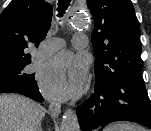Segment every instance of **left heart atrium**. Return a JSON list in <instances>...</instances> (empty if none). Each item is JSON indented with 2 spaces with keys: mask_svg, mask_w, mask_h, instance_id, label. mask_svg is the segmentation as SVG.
Here are the masks:
<instances>
[{
  "mask_svg": "<svg viewBox=\"0 0 151 131\" xmlns=\"http://www.w3.org/2000/svg\"><path fill=\"white\" fill-rule=\"evenodd\" d=\"M86 76V62L71 53L63 52L45 64L39 80L47 97L67 99L80 91Z\"/></svg>",
  "mask_w": 151,
  "mask_h": 131,
  "instance_id": "39dd6f15",
  "label": "left heart atrium"
}]
</instances>
